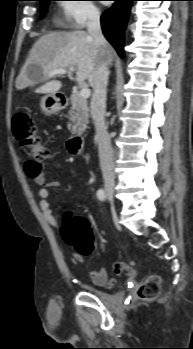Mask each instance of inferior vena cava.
<instances>
[{"mask_svg": "<svg viewBox=\"0 0 193 349\" xmlns=\"http://www.w3.org/2000/svg\"><path fill=\"white\" fill-rule=\"evenodd\" d=\"M88 33L94 38L96 44L103 48L107 41L100 25V13L97 9H90L87 22ZM108 64L101 62L97 68L94 80V92L90 103V112L96 130V142L99 150L100 167L105 186L114 185V161L111 138L105 125L106 92L108 85Z\"/></svg>", "mask_w": 193, "mask_h": 349, "instance_id": "602c4592", "label": "inferior vena cava"}]
</instances>
